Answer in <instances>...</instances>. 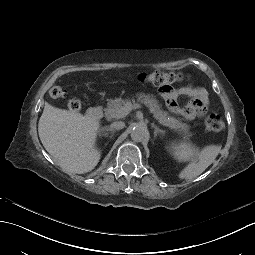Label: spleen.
<instances>
[{
  "instance_id": "1",
  "label": "spleen",
  "mask_w": 255,
  "mask_h": 255,
  "mask_svg": "<svg viewBox=\"0 0 255 255\" xmlns=\"http://www.w3.org/2000/svg\"><path fill=\"white\" fill-rule=\"evenodd\" d=\"M220 147L207 145L199 150L188 141L170 145L169 152L179 162H189L178 174L179 179L190 180L199 176L217 157Z\"/></svg>"
}]
</instances>
